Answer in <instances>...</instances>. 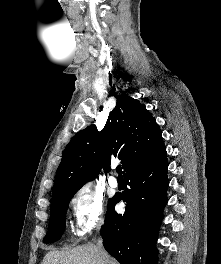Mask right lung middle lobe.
Masks as SVG:
<instances>
[{"label":"right lung middle lobe","instance_id":"1","mask_svg":"<svg viewBox=\"0 0 221 264\" xmlns=\"http://www.w3.org/2000/svg\"><path fill=\"white\" fill-rule=\"evenodd\" d=\"M74 194L75 193L60 196L51 202L49 230L44 237V242L52 243L62 236L66 224L67 209ZM111 201L112 199L109 200V205Z\"/></svg>","mask_w":221,"mask_h":264}]
</instances>
